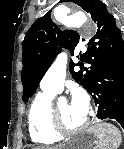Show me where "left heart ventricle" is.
Segmentation results:
<instances>
[{
    "label": "left heart ventricle",
    "mask_w": 124,
    "mask_h": 149,
    "mask_svg": "<svg viewBox=\"0 0 124 149\" xmlns=\"http://www.w3.org/2000/svg\"><path fill=\"white\" fill-rule=\"evenodd\" d=\"M57 108L62 117L63 123L69 128L80 126L87 117L73 110L70 103L67 101L58 103Z\"/></svg>",
    "instance_id": "1"
}]
</instances>
